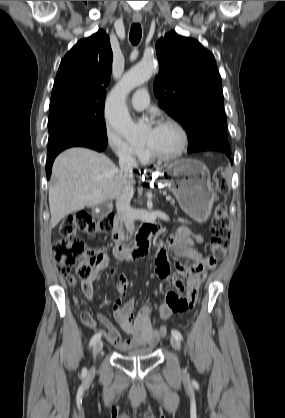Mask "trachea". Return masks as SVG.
<instances>
[{
  "label": "trachea",
  "instance_id": "obj_1",
  "mask_svg": "<svg viewBox=\"0 0 285 418\" xmlns=\"http://www.w3.org/2000/svg\"><path fill=\"white\" fill-rule=\"evenodd\" d=\"M142 36V29L140 24L136 23L131 26L130 30V41L133 45H137L140 42Z\"/></svg>",
  "mask_w": 285,
  "mask_h": 418
}]
</instances>
